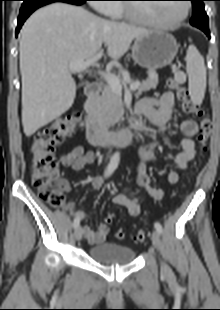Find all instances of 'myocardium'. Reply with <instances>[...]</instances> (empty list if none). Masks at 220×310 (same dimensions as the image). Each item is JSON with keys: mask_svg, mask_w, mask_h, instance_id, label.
<instances>
[{"mask_svg": "<svg viewBox=\"0 0 220 310\" xmlns=\"http://www.w3.org/2000/svg\"><path fill=\"white\" fill-rule=\"evenodd\" d=\"M126 16L133 22L158 28V29H171L180 25L187 17L190 11V6L188 2L183 3V12L182 14L173 21L170 22H160L148 17H142L137 14L134 5L126 4L123 7Z\"/></svg>", "mask_w": 220, "mask_h": 310, "instance_id": "obj_1", "label": "myocardium"}]
</instances>
